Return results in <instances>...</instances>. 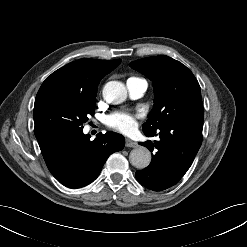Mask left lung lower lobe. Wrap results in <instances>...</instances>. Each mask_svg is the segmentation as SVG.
<instances>
[{"label": "left lung lower lobe", "instance_id": "1", "mask_svg": "<svg viewBox=\"0 0 247 247\" xmlns=\"http://www.w3.org/2000/svg\"><path fill=\"white\" fill-rule=\"evenodd\" d=\"M202 129L203 122L177 120L155 132L144 133L159 140L140 143L154 154L149 166L136 172L137 180L153 191L175 185L190 168L201 146Z\"/></svg>", "mask_w": 247, "mask_h": 247}]
</instances>
